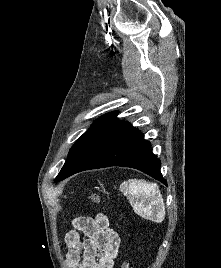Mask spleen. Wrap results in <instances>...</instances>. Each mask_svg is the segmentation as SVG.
<instances>
[{"label":"spleen","mask_w":221,"mask_h":268,"mask_svg":"<svg viewBox=\"0 0 221 268\" xmlns=\"http://www.w3.org/2000/svg\"><path fill=\"white\" fill-rule=\"evenodd\" d=\"M120 190L129 194L136 214L157 223L164 220L165 204L157 184L143 179H130L121 183Z\"/></svg>","instance_id":"3e777b00"}]
</instances>
